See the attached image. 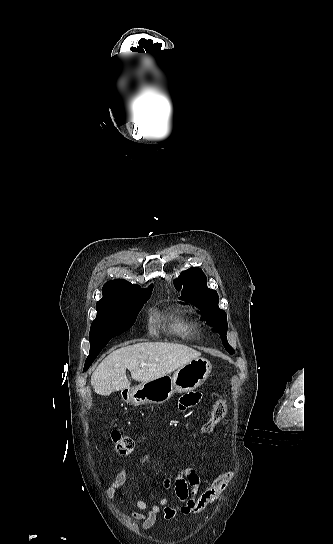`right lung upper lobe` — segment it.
Instances as JSON below:
<instances>
[{
  "label": "right lung upper lobe",
  "instance_id": "obj_1",
  "mask_svg": "<svg viewBox=\"0 0 333 544\" xmlns=\"http://www.w3.org/2000/svg\"><path fill=\"white\" fill-rule=\"evenodd\" d=\"M152 286L148 290H143L137 285H132L126 280H113L108 281L103 286V298L97 303L133 298L143 293L152 290Z\"/></svg>",
  "mask_w": 333,
  "mask_h": 544
}]
</instances>
